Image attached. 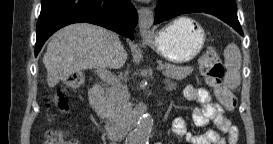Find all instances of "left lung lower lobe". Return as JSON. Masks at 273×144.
<instances>
[{
    "instance_id": "0a47b994",
    "label": "left lung lower lobe",
    "mask_w": 273,
    "mask_h": 144,
    "mask_svg": "<svg viewBox=\"0 0 273 144\" xmlns=\"http://www.w3.org/2000/svg\"><path fill=\"white\" fill-rule=\"evenodd\" d=\"M193 12H204L214 15L233 27L240 35H243L237 18L235 0H159L154 24Z\"/></svg>"
}]
</instances>
